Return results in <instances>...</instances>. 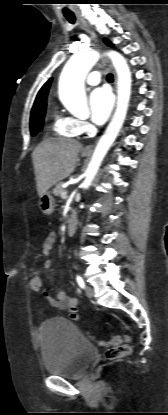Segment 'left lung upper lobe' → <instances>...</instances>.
Listing matches in <instances>:
<instances>
[{
    "label": "left lung upper lobe",
    "mask_w": 168,
    "mask_h": 415,
    "mask_svg": "<svg viewBox=\"0 0 168 415\" xmlns=\"http://www.w3.org/2000/svg\"><path fill=\"white\" fill-rule=\"evenodd\" d=\"M104 41L108 46H113V44L111 42H109L107 39H104Z\"/></svg>",
    "instance_id": "1"
}]
</instances>
